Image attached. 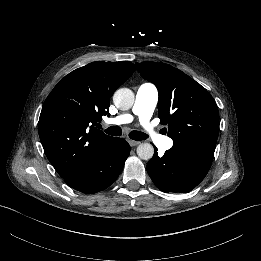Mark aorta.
I'll use <instances>...</instances> for the list:
<instances>
[{"label":"aorta","instance_id":"obj_1","mask_svg":"<svg viewBox=\"0 0 261 261\" xmlns=\"http://www.w3.org/2000/svg\"><path fill=\"white\" fill-rule=\"evenodd\" d=\"M134 93L128 88H120L113 95L114 105L121 110H128L134 104ZM154 148L150 143H142L137 147V155L143 160L153 157Z\"/></svg>","mask_w":261,"mask_h":261}]
</instances>
